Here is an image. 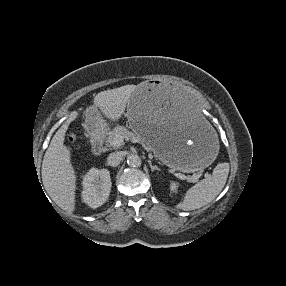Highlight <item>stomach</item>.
<instances>
[{
	"instance_id": "obj_1",
	"label": "stomach",
	"mask_w": 286,
	"mask_h": 286,
	"mask_svg": "<svg viewBox=\"0 0 286 286\" xmlns=\"http://www.w3.org/2000/svg\"><path fill=\"white\" fill-rule=\"evenodd\" d=\"M127 118L132 131L170 168L199 171L217 156V133L207 125L198 100L177 83L153 79L137 85L127 103ZM100 124L99 112L87 110L86 130L96 132Z\"/></svg>"
}]
</instances>
